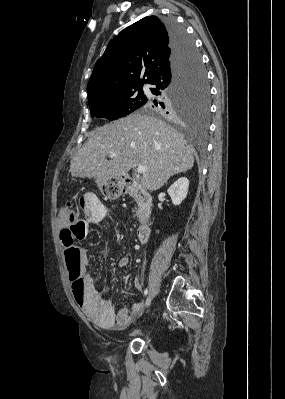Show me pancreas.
<instances>
[{"label": "pancreas", "mask_w": 285, "mask_h": 399, "mask_svg": "<svg viewBox=\"0 0 285 399\" xmlns=\"http://www.w3.org/2000/svg\"><path fill=\"white\" fill-rule=\"evenodd\" d=\"M138 215H139V209H136V211H135V216L138 217Z\"/></svg>", "instance_id": "cf45deb5"}]
</instances>
